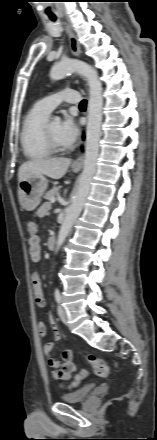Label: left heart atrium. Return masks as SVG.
Wrapping results in <instances>:
<instances>
[{"label":"left heart atrium","mask_w":157,"mask_h":440,"mask_svg":"<svg viewBox=\"0 0 157 440\" xmlns=\"http://www.w3.org/2000/svg\"><path fill=\"white\" fill-rule=\"evenodd\" d=\"M60 136L66 145L73 144L78 136L79 129L71 117H66L60 124Z\"/></svg>","instance_id":"obj_1"}]
</instances>
